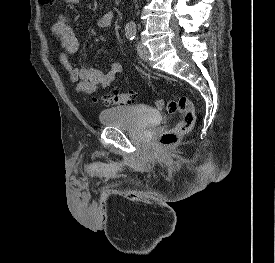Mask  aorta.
<instances>
[{
	"label": "aorta",
	"mask_w": 275,
	"mask_h": 263,
	"mask_svg": "<svg viewBox=\"0 0 275 263\" xmlns=\"http://www.w3.org/2000/svg\"><path fill=\"white\" fill-rule=\"evenodd\" d=\"M133 28H135V23H134V22H129V23L127 24V29L132 30Z\"/></svg>",
	"instance_id": "obj_1"
}]
</instances>
